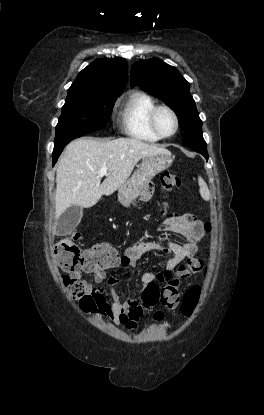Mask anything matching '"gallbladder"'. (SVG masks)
<instances>
[{"instance_id": "bac80fb5", "label": "gallbladder", "mask_w": 264, "mask_h": 415, "mask_svg": "<svg viewBox=\"0 0 264 415\" xmlns=\"http://www.w3.org/2000/svg\"><path fill=\"white\" fill-rule=\"evenodd\" d=\"M83 215V208L72 205L65 210L57 221V235L71 233L79 224Z\"/></svg>"}]
</instances>
